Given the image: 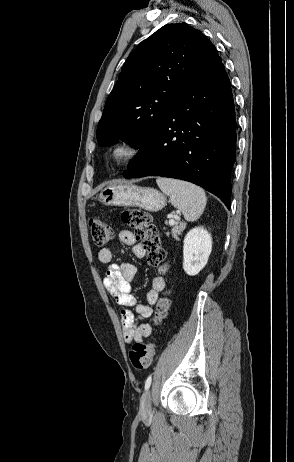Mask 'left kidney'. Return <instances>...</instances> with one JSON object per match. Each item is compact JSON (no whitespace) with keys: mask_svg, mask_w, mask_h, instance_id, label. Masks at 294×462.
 <instances>
[{"mask_svg":"<svg viewBox=\"0 0 294 462\" xmlns=\"http://www.w3.org/2000/svg\"><path fill=\"white\" fill-rule=\"evenodd\" d=\"M183 243V269L190 276L197 275L211 254V234L203 227H195L186 234Z\"/></svg>","mask_w":294,"mask_h":462,"instance_id":"5707ae66","label":"left kidney"}]
</instances>
